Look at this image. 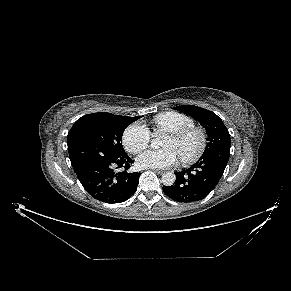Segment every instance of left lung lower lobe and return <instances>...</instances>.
<instances>
[{
	"label": "left lung lower lobe",
	"instance_id": "obj_1",
	"mask_svg": "<svg viewBox=\"0 0 291 291\" xmlns=\"http://www.w3.org/2000/svg\"><path fill=\"white\" fill-rule=\"evenodd\" d=\"M230 147H220L201 158L190 168L175 172L176 181L164 186V193L177 202L204 199L218 184L229 160Z\"/></svg>",
	"mask_w": 291,
	"mask_h": 291
}]
</instances>
